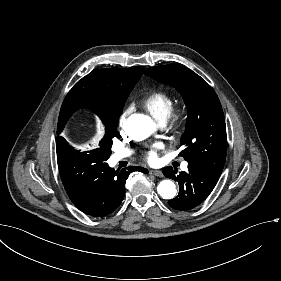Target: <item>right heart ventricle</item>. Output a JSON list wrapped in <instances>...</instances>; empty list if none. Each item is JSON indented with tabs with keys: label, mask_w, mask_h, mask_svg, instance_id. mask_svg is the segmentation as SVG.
<instances>
[{
	"label": "right heart ventricle",
	"mask_w": 281,
	"mask_h": 281,
	"mask_svg": "<svg viewBox=\"0 0 281 281\" xmlns=\"http://www.w3.org/2000/svg\"><path fill=\"white\" fill-rule=\"evenodd\" d=\"M143 104L156 119L164 120L173 110L175 98L166 90H155L145 96Z\"/></svg>",
	"instance_id": "obj_1"
}]
</instances>
